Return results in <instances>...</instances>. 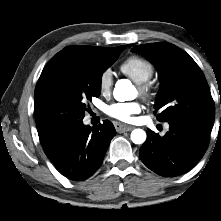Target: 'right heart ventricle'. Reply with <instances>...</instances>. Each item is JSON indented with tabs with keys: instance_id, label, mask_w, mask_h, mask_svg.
I'll return each mask as SVG.
<instances>
[{
	"instance_id": "right-heart-ventricle-1",
	"label": "right heart ventricle",
	"mask_w": 221,
	"mask_h": 221,
	"mask_svg": "<svg viewBox=\"0 0 221 221\" xmlns=\"http://www.w3.org/2000/svg\"><path fill=\"white\" fill-rule=\"evenodd\" d=\"M120 70L136 83L148 81L154 73L153 65L146 59L138 56L128 57L120 65Z\"/></svg>"
}]
</instances>
